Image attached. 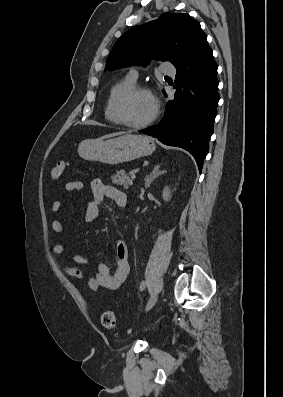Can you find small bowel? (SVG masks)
Returning <instances> with one entry per match:
<instances>
[{
	"label": "small bowel",
	"mask_w": 283,
	"mask_h": 397,
	"mask_svg": "<svg viewBox=\"0 0 283 397\" xmlns=\"http://www.w3.org/2000/svg\"><path fill=\"white\" fill-rule=\"evenodd\" d=\"M65 189L69 192L81 191L83 189V183L81 181H69L65 185ZM92 199L89 201L86 212L85 220L88 223L95 222L100 215V206L105 200L113 201L116 206L123 208L127 204V197L121 190L103 184L99 179H95L91 182ZM62 204L59 200H56L52 204V212L57 215L61 211ZM52 230L57 235L64 233V225L61 220L55 218L51 222ZM64 245L62 243H56L52 247V253L54 255H60L64 252ZM116 263L115 267L111 268L105 263H100L97 266V271L94 276L88 280V286L90 289L97 291L101 288L108 290H115L125 281L129 273V261H128V250L127 246L123 241H117L115 244ZM77 266L65 267L63 272L72 278L81 279L84 277V270L81 266L89 264V259L84 255H75L73 258Z\"/></svg>",
	"instance_id": "small-bowel-1"
}]
</instances>
